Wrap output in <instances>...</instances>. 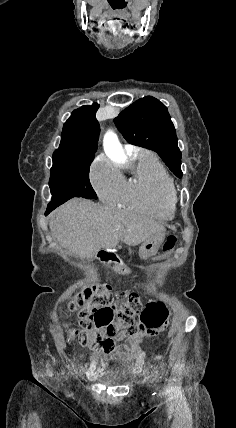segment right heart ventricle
Here are the masks:
<instances>
[{
	"label": "right heart ventricle",
	"mask_w": 236,
	"mask_h": 428,
	"mask_svg": "<svg viewBox=\"0 0 236 428\" xmlns=\"http://www.w3.org/2000/svg\"><path fill=\"white\" fill-rule=\"evenodd\" d=\"M132 169L124 181L122 201L160 220L175 215L176 186L173 177L149 150L137 149L125 160Z\"/></svg>",
	"instance_id": "obj_1"
}]
</instances>
